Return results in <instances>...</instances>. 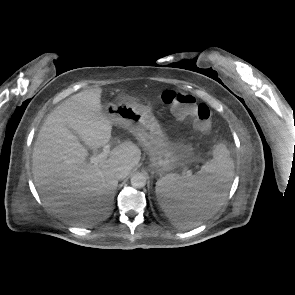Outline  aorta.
<instances>
[{
  "label": "aorta",
  "mask_w": 295,
  "mask_h": 295,
  "mask_svg": "<svg viewBox=\"0 0 295 295\" xmlns=\"http://www.w3.org/2000/svg\"><path fill=\"white\" fill-rule=\"evenodd\" d=\"M130 181L134 188H142L146 185L147 178L143 173L137 172L132 175Z\"/></svg>",
  "instance_id": "762f6f07"
}]
</instances>
